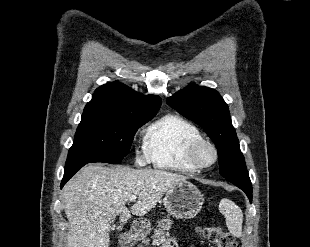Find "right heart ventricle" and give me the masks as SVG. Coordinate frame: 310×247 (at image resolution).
<instances>
[{
    "label": "right heart ventricle",
    "instance_id": "e07e8e85",
    "mask_svg": "<svg viewBox=\"0 0 310 247\" xmlns=\"http://www.w3.org/2000/svg\"><path fill=\"white\" fill-rule=\"evenodd\" d=\"M203 138L200 130L191 122L176 114H166L145 131L144 149L149 162L159 169L181 173H194L186 152L189 144Z\"/></svg>",
    "mask_w": 310,
    "mask_h": 247
}]
</instances>
